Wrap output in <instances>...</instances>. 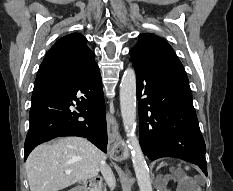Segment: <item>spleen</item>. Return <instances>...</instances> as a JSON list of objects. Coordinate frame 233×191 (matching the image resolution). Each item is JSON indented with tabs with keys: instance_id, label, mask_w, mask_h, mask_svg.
Returning <instances> with one entry per match:
<instances>
[{
	"instance_id": "obj_1",
	"label": "spleen",
	"mask_w": 233,
	"mask_h": 191,
	"mask_svg": "<svg viewBox=\"0 0 233 191\" xmlns=\"http://www.w3.org/2000/svg\"><path fill=\"white\" fill-rule=\"evenodd\" d=\"M185 169H186V170H188V169H189V167H188V166H186V167H185Z\"/></svg>"
}]
</instances>
